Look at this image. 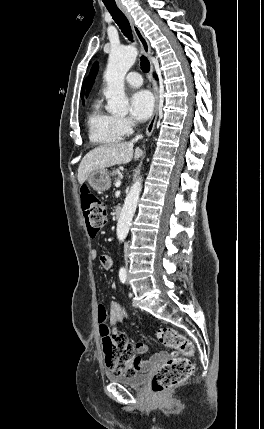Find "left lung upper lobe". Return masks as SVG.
I'll list each match as a JSON object with an SVG mask.
<instances>
[{"label":"left lung upper lobe","mask_w":264,"mask_h":429,"mask_svg":"<svg viewBox=\"0 0 264 429\" xmlns=\"http://www.w3.org/2000/svg\"><path fill=\"white\" fill-rule=\"evenodd\" d=\"M97 70H98V63H97V62H95V63L93 64L92 68H91V71H90V74H89V77H88V82H87V95H88V93H89V91H90V89H91V87H92V85H93V83H94V80H95V76H96V72H97Z\"/></svg>","instance_id":"5c2ea615"}]
</instances>
